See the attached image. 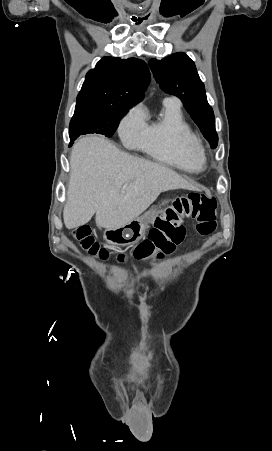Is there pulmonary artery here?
Here are the masks:
<instances>
[{"instance_id": "1", "label": "pulmonary artery", "mask_w": 272, "mask_h": 451, "mask_svg": "<svg viewBox=\"0 0 272 451\" xmlns=\"http://www.w3.org/2000/svg\"><path fill=\"white\" fill-rule=\"evenodd\" d=\"M164 103H170V104H173L176 107H180L181 106L180 100L178 98H176V97H167V98L164 99Z\"/></svg>"}]
</instances>
